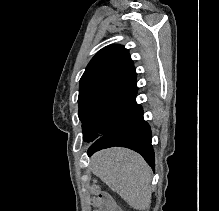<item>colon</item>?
<instances>
[{
	"label": "colon",
	"instance_id": "colon-1",
	"mask_svg": "<svg viewBox=\"0 0 219 211\" xmlns=\"http://www.w3.org/2000/svg\"><path fill=\"white\" fill-rule=\"evenodd\" d=\"M90 193H91V203L94 206H97L101 197H102V192L99 190L98 186L96 184H93L90 188Z\"/></svg>",
	"mask_w": 219,
	"mask_h": 211
}]
</instances>
